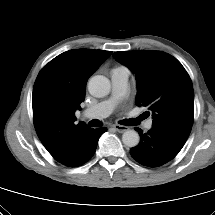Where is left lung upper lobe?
<instances>
[{"label":"left lung upper lobe","mask_w":215,"mask_h":215,"mask_svg":"<svg viewBox=\"0 0 215 215\" xmlns=\"http://www.w3.org/2000/svg\"><path fill=\"white\" fill-rule=\"evenodd\" d=\"M113 57L135 73L136 105L152 112V127L185 144L193 124L194 92L182 64L161 51H120Z\"/></svg>","instance_id":"left-lung-upper-lobe-1"}]
</instances>
